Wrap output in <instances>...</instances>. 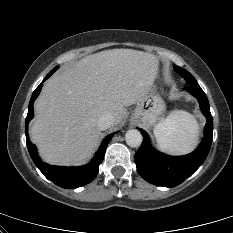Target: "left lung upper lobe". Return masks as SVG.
Returning a JSON list of instances; mask_svg holds the SVG:
<instances>
[{"label": "left lung upper lobe", "instance_id": "5c2ea615", "mask_svg": "<svg viewBox=\"0 0 233 233\" xmlns=\"http://www.w3.org/2000/svg\"><path fill=\"white\" fill-rule=\"evenodd\" d=\"M175 70L185 78L188 84H198L195 78L185 69L179 67V66H174Z\"/></svg>", "mask_w": 233, "mask_h": 233}]
</instances>
